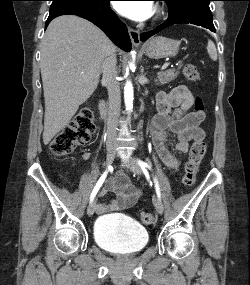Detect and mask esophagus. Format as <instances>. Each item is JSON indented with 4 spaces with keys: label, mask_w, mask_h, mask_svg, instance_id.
I'll list each match as a JSON object with an SVG mask.
<instances>
[{
    "label": "esophagus",
    "mask_w": 250,
    "mask_h": 285,
    "mask_svg": "<svg viewBox=\"0 0 250 285\" xmlns=\"http://www.w3.org/2000/svg\"><path fill=\"white\" fill-rule=\"evenodd\" d=\"M129 35L134 46L140 44V32L136 29L129 28Z\"/></svg>",
    "instance_id": "1"
}]
</instances>
